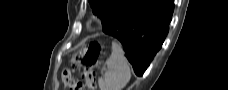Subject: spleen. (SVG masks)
<instances>
[{
    "mask_svg": "<svg viewBox=\"0 0 228 90\" xmlns=\"http://www.w3.org/2000/svg\"><path fill=\"white\" fill-rule=\"evenodd\" d=\"M107 71L98 79L100 90H122L131 78L129 63L117 42L112 43V53L105 62Z\"/></svg>",
    "mask_w": 228,
    "mask_h": 90,
    "instance_id": "3e777b00",
    "label": "spleen"
}]
</instances>
